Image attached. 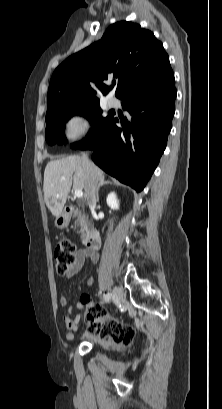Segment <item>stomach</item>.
I'll return each instance as SVG.
<instances>
[{
  "label": "stomach",
  "instance_id": "0dacf381",
  "mask_svg": "<svg viewBox=\"0 0 222 409\" xmlns=\"http://www.w3.org/2000/svg\"><path fill=\"white\" fill-rule=\"evenodd\" d=\"M70 222V214L66 210H62V212L56 216L55 219V226L59 229L66 228Z\"/></svg>",
  "mask_w": 222,
  "mask_h": 409
}]
</instances>
